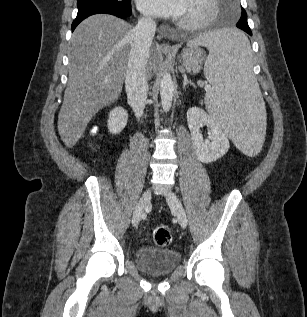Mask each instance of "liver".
I'll list each match as a JSON object with an SVG mask.
<instances>
[{
    "label": "liver",
    "mask_w": 307,
    "mask_h": 317,
    "mask_svg": "<svg viewBox=\"0 0 307 317\" xmlns=\"http://www.w3.org/2000/svg\"><path fill=\"white\" fill-rule=\"evenodd\" d=\"M132 30L127 22L100 14L85 19L72 34L69 78L58 116V132L67 147L77 143L99 110L119 97L133 44ZM158 54V48L151 47L148 77L157 70Z\"/></svg>",
    "instance_id": "1"
}]
</instances>
